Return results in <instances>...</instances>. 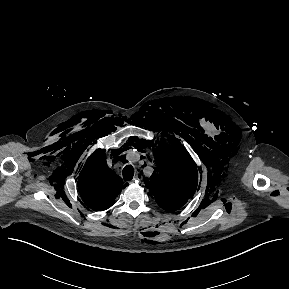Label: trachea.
<instances>
[{"label":"trachea","mask_w":289,"mask_h":289,"mask_svg":"<svg viewBox=\"0 0 289 289\" xmlns=\"http://www.w3.org/2000/svg\"><path fill=\"white\" fill-rule=\"evenodd\" d=\"M122 174H123L124 180H126V181L132 180V179H133V176H134V169H133V167H132L131 165L125 166L124 169H123Z\"/></svg>","instance_id":"1"}]
</instances>
